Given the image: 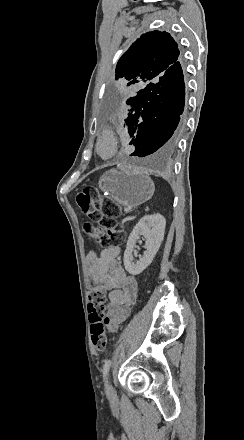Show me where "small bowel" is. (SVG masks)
<instances>
[{
  "instance_id": "1",
  "label": "small bowel",
  "mask_w": 244,
  "mask_h": 440,
  "mask_svg": "<svg viewBox=\"0 0 244 440\" xmlns=\"http://www.w3.org/2000/svg\"><path fill=\"white\" fill-rule=\"evenodd\" d=\"M119 246L103 249L99 254L90 252L86 257L91 290L108 292L107 330L116 334L122 322L131 314L138 299V282L127 275L118 256Z\"/></svg>"
}]
</instances>
